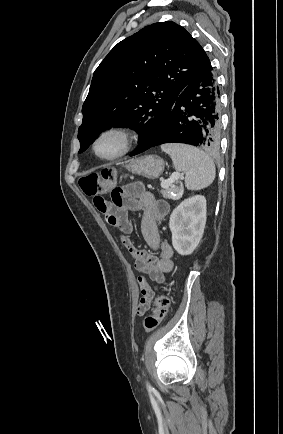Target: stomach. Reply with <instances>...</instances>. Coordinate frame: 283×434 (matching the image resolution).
Returning a JSON list of instances; mask_svg holds the SVG:
<instances>
[{"label":"stomach","instance_id":"1","mask_svg":"<svg viewBox=\"0 0 283 434\" xmlns=\"http://www.w3.org/2000/svg\"><path fill=\"white\" fill-rule=\"evenodd\" d=\"M127 169L132 173L155 179L162 174L164 161L159 156L146 155L130 162Z\"/></svg>","mask_w":283,"mask_h":434}]
</instances>
